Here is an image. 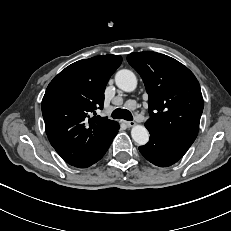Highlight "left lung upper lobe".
I'll return each mask as SVG.
<instances>
[{"label": "left lung upper lobe", "instance_id": "left-lung-upper-lobe-1", "mask_svg": "<svg viewBox=\"0 0 231 231\" xmlns=\"http://www.w3.org/2000/svg\"><path fill=\"white\" fill-rule=\"evenodd\" d=\"M127 60L141 75L149 95L150 118L145 126L190 147L203 111L194 74L177 60L152 51L131 53Z\"/></svg>", "mask_w": 231, "mask_h": 231}]
</instances>
